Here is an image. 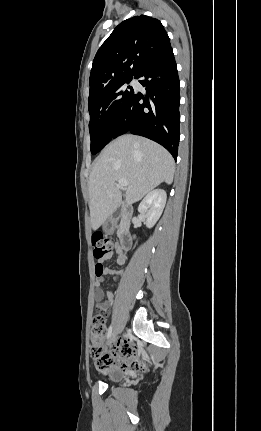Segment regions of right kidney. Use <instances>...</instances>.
Returning <instances> with one entry per match:
<instances>
[{
    "label": "right kidney",
    "mask_w": 261,
    "mask_h": 431,
    "mask_svg": "<svg viewBox=\"0 0 261 431\" xmlns=\"http://www.w3.org/2000/svg\"><path fill=\"white\" fill-rule=\"evenodd\" d=\"M167 195L162 189L149 192L142 200L138 211L146 218V226L152 228L160 218L166 204Z\"/></svg>",
    "instance_id": "ca27d5eb"
}]
</instances>
